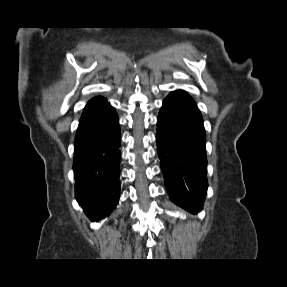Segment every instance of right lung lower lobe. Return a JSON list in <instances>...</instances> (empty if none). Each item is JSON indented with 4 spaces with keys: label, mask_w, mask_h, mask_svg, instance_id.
<instances>
[{
    "label": "right lung lower lobe",
    "mask_w": 287,
    "mask_h": 287,
    "mask_svg": "<svg viewBox=\"0 0 287 287\" xmlns=\"http://www.w3.org/2000/svg\"><path fill=\"white\" fill-rule=\"evenodd\" d=\"M120 138L118 116L107 101L83 111L74 142L75 197L92 221L119 201Z\"/></svg>",
    "instance_id": "98d812e1"
}]
</instances>
